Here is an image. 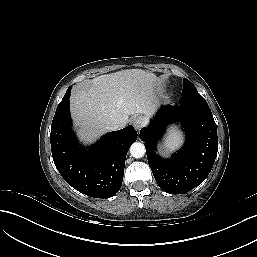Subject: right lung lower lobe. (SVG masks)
Masks as SVG:
<instances>
[{
  "mask_svg": "<svg viewBox=\"0 0 257 257\" xmlns=\"http://www.w3.org/2000/svg\"><path fill=\"white\" fill-rule=\"evenodd\" d=\"M70 87L59 103L51 125V150L55 166L77 191L95 198L115 195L124 175L125 158L137 132L129 125L103 136L90 148L79 145L71 130Z\"/></svg>",
  "mask_w": 257,
  "mask_h": 257,
  "instance_id": "obj_1",
  "label": "right lung lower lobe"
}]
</instances>
